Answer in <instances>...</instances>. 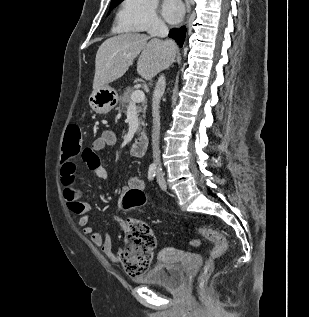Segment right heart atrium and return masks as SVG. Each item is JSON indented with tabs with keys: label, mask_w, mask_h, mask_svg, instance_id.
I'll list each match as a JSON object with an SVG mask.
<instances>
[{
	"label": "right heart atrium",
	"mask_w": 309,
	"mask_h": 317,
	"mask_svg": "<svg viewBox=\"0 0 309 317\" xmlns=\"http://www.w3.org/2000/svg\"><path fill=\"white\" fill-rule=\"evenodd\" d=\"M118 23L131 32H153L165 26L157 11V0H124Z\"/></svg>",
	"instance_id": "d8ad5b80"
}]
</instances>
